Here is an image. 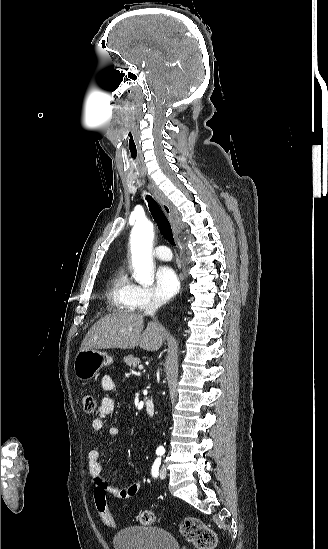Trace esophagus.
<instances>
[{
  "label": "esophagus",
  "mask_w": 328,
  "mask_h": 549,
  "mask_svg": "<svg viewBox=\"0 0 328 549\" xmlns=\"http://www.w3.org/2000/svg\"><path fill=\"white\" fill-rule=\"evenodd\" d=\"M148 188H149L150 192L153 194V196L155 197V199L157 200V202L159 203V205L164 210L166 216L168 217V219L171 223L172 229H173L174 238L177 240L178 233H179V223H178V220H177V217L175 215L174 210L170 206L168 200L165 199V197L161 194V192L154 185L148 184Z\"/></svg>",
  "instance_id": "esophagus-1"
}]
</instances>
